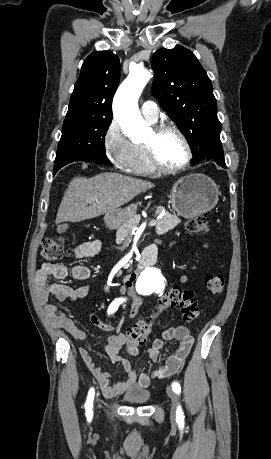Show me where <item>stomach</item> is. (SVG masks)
I'll return each instance as SVG.
<instances>
[{"label": "stomach", "instance_id": "0dacf381", "mask_svg": "<svg viewBox=\"0 0 271 459\" xmlns=\"http://www.w3.org/2000/svg\"><path fill=\"white\" fill-rule=\"evenodd\" d=\"M171 204L178 216L196 218L215 208L219 198L218 188L205 174H191L178 180L171 190ZM136 206H129L126 210L108 212L105 222L108 226H119L129 218L135 216Z\"/></svg>", "mask_w": 271, "mask_h": 459}]
</instances>
